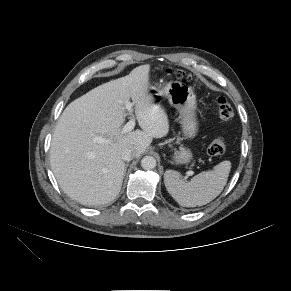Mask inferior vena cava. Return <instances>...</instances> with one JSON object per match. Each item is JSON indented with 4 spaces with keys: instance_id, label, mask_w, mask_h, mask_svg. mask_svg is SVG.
Here are the masks:
<instances>
[{
    "instance_id": "1",
    "label": "inferior vena cava",
    "mask_w": 291,
    "mask_h": 291,
    "mask_svg": "<svg viewBox=\"0 0 291 291\" xmlns=\"http://www.w3.org/2000/svg\"><path fill=\"white\" fill-rule=\"evenodd\" d=\"M135 157V151L132 149H125L122 152L121 158L124 161H130Z\"/></svg>"
}]
</instances>
